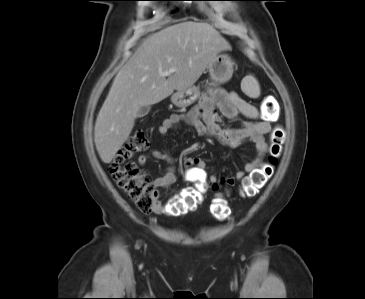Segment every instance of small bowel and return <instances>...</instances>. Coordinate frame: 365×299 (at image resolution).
<instances>
[{"label": "small bowel", "mask_w": 365, "mask_h": 299, "mask_svg": "<svg viewBox=\"0 0 365 299\" xmlns=\"http://www.w3.org/2000/svg\"><path fill=\"white\" fill-rule=\"evenodd\" d=\"M240 115L246 120L237 127L229 128L221 123V116L236 121ZM181 122L190 125L199 136L216 138L229 147L236 148L244 142L250 141L254 143L256 148L255 157L247 162L242 170L237 171L233 177H226L222 180L214 174L207 173L206 164L202 158L187 157L184 160V167L187 171V177L191 181L209 183L215 188L222 183L232 185L247 174L256 171L261 166L262 159L268 151L265 136L270 132V122L261 117L253 105L234 92L227 93L219 88L209 87L201 95L198 104L188 112L173 113L168 116L159 126L158 134L161 136L168 134ZM151 157L167 160L170 163L166 173L153 180L155 188L169 187L176 181L172 157L159 150H153ZM148 160L149 155H141L138 158V163L145 165ZM156 197H158L157 191ZM163 211V205L156 202L155 212L161 213Z\"/></svg>", "instance_id": "c3829d8e"}]
</instances>
